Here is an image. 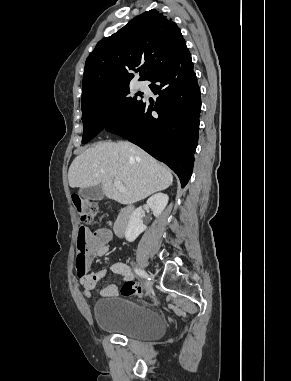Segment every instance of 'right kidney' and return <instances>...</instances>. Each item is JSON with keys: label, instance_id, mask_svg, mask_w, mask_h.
Returning a JSON list of instances; mask_svg holds the SVG:
<instances>
[{"label": "right kidney", "instance_id": "ca27d5eb", "mask_svg": "<svg viewBox=\"0 0 291 381\" xmlns=\"http://www.w3.org/2000/svg\"><path fill=\"white\" fill-rule=\"evenodd\" d=\"M168 200V195L157 193L147 200V205L153 211L154 216L159 217L167 206ZM142 216V207L137 208L130 216L125 231V238L128 242L135 241V239L147 229V226L142 222Z\"/></svg>", "mask_w": 291, "mask_h": 381}]
</instances>
